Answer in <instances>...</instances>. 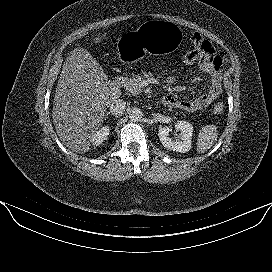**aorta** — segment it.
<instances>
[{
  "instance_id": "aorta-1",
  "label": "aorta",
  "mask_w": 272,
  "mask_h": 272,
  "mask_svg": "<svg viewBox=\"0 0 272 272\" xmlns=\"http://www.w3.org/2000/svg\"><path fill=\"white\" fill-rule=\"evenodd\" d=\"M142 117H143V113H142L141 109H139L137 107H133L129 111V118L134 122L140 121L142 119Z\"/></svg>"
}]
</instances>
